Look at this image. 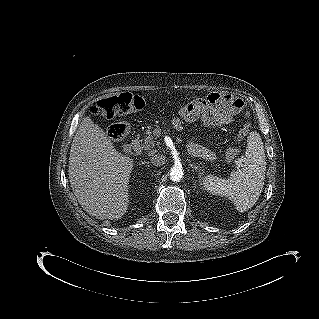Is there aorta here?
<instances>
[{
    "mask_svg": "<svg viewBox=\"0 0 319 319\" xmlns=\"http://www.w3.org/2000/svg\"><path fill=\"white\" fill-rule=\"evenodd\" d=\"M183 174V169L181 167L174 166L170 170V179L174 182L180 181L183 177Z\"/></svg>",
    "mask_w": 319,
    "mask_h": 319,
    "instance_id": "762f6f07",
    "label": "aorta"
}]
</instances>
